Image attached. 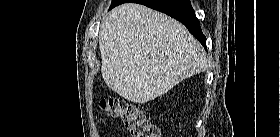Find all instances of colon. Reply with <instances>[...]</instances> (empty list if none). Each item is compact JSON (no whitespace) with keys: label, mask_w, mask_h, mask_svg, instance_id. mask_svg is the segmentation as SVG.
Returning a JSON list of instances; mask_svg holds the SVG:
<instances>
[{"label":"colon","mask_w":280,"mask_h":137,"mask_svg":"<svg viewBox=\"0 0 280 137\" xmlns=\"http://www.w3.org/2000/svg\"><path fill=\"white\" fill-rule=\"evenodd\" d=\"M99 105L107 116L120 117L133 137L159 136L157 125L146 118L140 106L115 97L103 98Z\"/></svg>","instance_id":"5ec220e1"}]
</instances>
